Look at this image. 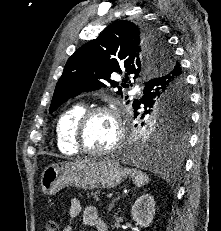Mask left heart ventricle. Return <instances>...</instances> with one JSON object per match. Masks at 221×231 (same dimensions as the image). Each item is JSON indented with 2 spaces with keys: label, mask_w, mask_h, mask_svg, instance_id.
<instances>
[{
  "label": "left heart ventricle",
  "mask_w": 221,
  "mask_h": 231,
  "mask_svg": "<svg viewBox=\"0 0 221 231\" xmlns=\"http://www.w3.org/2000/svg\"><path fill=\"white\" fill-rule=\"evenodd\" d=\"M117 131L110 115L99 113L92 116L85 127L84 143L92 151L106 150L116 140Z\"/></svg>",
  "instance_id": "1"
}]
</instances>
